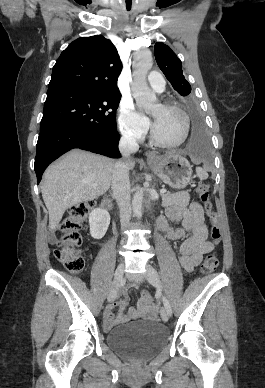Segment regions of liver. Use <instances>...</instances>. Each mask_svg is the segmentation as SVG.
<instances>
[{
  "label": "liver",
  "instance_id": "1",
  "mask_svg": "<svg viewBox=\"0 0 265 388\" xmlns=\"http://www.w3.org/2000/svg\"><path fill=\"white\" fill-rule=\"evenodd\" d=\"M179 156V154H178ZM133 170L135 160H127ZM116 162L83 150H71L43 174L41 192L49 212L50 232L57 230L68 208L103 196L112 182Z\"/></svg>",
  "mask_w": 265,
  "mask_h": 388
}]
</instances>
